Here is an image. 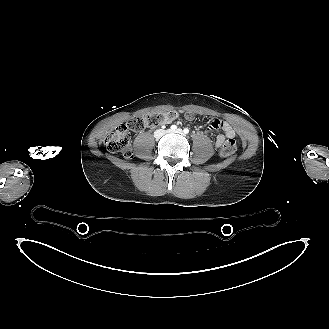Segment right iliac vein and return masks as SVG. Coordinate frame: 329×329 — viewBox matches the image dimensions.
<instances>
[{
    "label": "right iliac vein",
    "instance_id": "63e3f726",
    "mask_svg": "<svg viewBox=\"0 0 329 329\" xmlns=\"http://www.w3.org/2000/svg\"><path fill=\"white\" fill-rule=\"evenodd\" d=\"M166 132H170V131H166ZM165 134V131L164 130H158L157 131V136H162Z\"/></svg>",
    "mask_w": 329,
    "mask_h": 329
}]
</instances>
